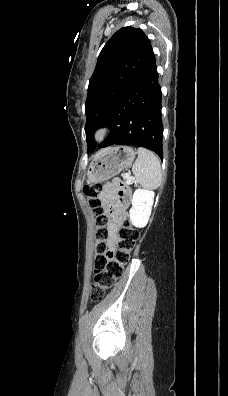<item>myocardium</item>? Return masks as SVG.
Masks as SVG:
<instances>
[{"label":"myocardium","instance_id":"obj_1","mask_svg":"<svg viewBox=\"0 0 228 396\" xmlns=\"http://www.w3.org/2000/svg\"><path fill=\"white\" fill-rule=\"evenodd\" d=\"M109 129L106 126L99 127L93 135V141L96 143H102L108 136Z\"/></svg>","mask_w":228,"mask_h":396}]
</instances>
